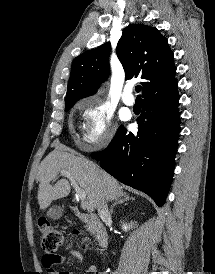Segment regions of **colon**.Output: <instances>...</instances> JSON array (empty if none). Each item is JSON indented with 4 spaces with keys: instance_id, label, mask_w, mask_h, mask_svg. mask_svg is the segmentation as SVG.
Returning <instances> with one entry per match:
<instances>
[{
    "instance_id": "obj_1",
    "label": "colon",
    "mask_w": 215,
    "mask_h": 274,
    "mask_svg": "<svg viewBox=\"0 0 215 274\" xmlns=\"http://www.w3.org/2000/svg\"><path fill=\"white\" fill-rule=\"evenodd\" d=\"M38 229L43 250L48 254H55L64 243L61 232L44 216L38 219Z\"/></svg>"
}]
</instances>
